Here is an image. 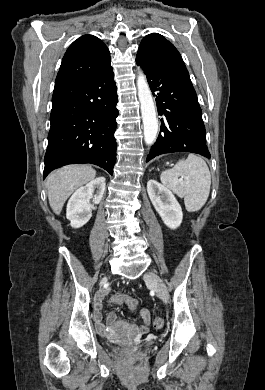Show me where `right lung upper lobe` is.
<instances>
[{"label":"right lung upper lobe","instance_id":"cb5924a9","mask_svg":"<svg viewBox=\"0 0 265 390\" xmlns=\"http://www.w3.org/2000/svg\"><path fill=\"white\" fill-rule=\"evenodd\" d=\"M110 65L107 46L93 35H84L67 49L54 89L84 80Z\"/></svg>","mask_w":265,"mask_h":390}]
</instances>
